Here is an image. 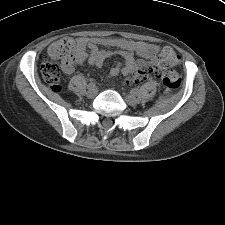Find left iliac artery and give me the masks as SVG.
I'll return each instance as SVG.
<instances>
[{"label": "left iliac artery", "mask_w": 225, "mask_h": 225, "mask_svg": "<svg viewBox=\"0 0 225 225\" xmlns=\"http://www.w3.org/2000/svg\"><path fill=\"white\" fill-rule=\"evenodd\" d=\"M131 92H132L133 94H136V93H137V89H133Z\"/></svg>", "instance_id": "obj_1"}]
</instances>
